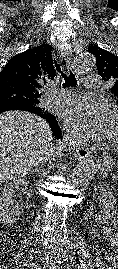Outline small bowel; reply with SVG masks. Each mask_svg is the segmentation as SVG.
<instances>
[{
	"label": "small bowel",
	"instance_id": "obj_1",
	"mask_svg": "<svg viewBox=\"0 0 118 269\" xmlns=\"http://www.w3.org/2000/svg\"><path fill=\"white\" fill-rule=\"evenodd\" d=\"M118 216L114 220V228H108L105 230V234L108 237L109 241L118 248Z\"/></svg>",
	"mask_w": 118,
	"mask_h": 269
}]
</instances>
